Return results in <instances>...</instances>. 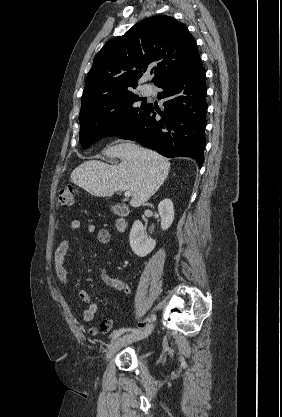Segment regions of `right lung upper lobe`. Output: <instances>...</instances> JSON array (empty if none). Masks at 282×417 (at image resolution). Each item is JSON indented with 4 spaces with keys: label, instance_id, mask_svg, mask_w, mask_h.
Wrapping results in <instances>:
<instances>
[{
    "label": "right lung upper lobe",
    "instance_id": "obj_1",
    "mask_svg": "<svg viewBox=\"0 0 282 417\" xmlns=\"http://www.w3.org/2000/svg\"><path fill=\"white\" fill-rule=\"evenodd\" d=\"M199 60L196 41L185 24L167 15L147 18L123 36L109 40L97 53L82 100L136 88L143 73L150 69L157 86Z\"/></svg>",
    "mask_w": 282,
    "mask_h": 417
}]
</instances>
